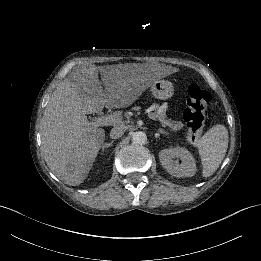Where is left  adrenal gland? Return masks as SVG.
Instances as JSON below:
<instances>
[{
    "mask_svg": "<svg viewBox=\"0 0 261 261\" xmlns=\"http://www.w3.org/2000/svg\"><path fill=\"white\" fill-rule=\"evenodd\" d=\"M158 132L161 133V134H166V135L169 134L168 132H166V131H165L164 129H162V128H159V129H158Z\"/></svg>",
    "mask_w": 261,
    "mask_h": 261,
    "instance_id": "left-adrenal-gland-1",
    "label": "left adrenal gland"
}]
</instances>
